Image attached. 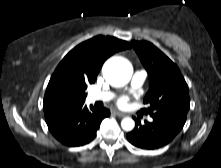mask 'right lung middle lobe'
Returning a JSON list of instances; mask_svg holds the SVG:
<instances>
[{
	"label": "right lung middle lobe",
	"mask_w": 221,
	"mask_h": 168,
	"mask_svg": "<svg viewBox=\"0 0 221 168\" xmlns=\"http://www.w3.org/2000/svg\"><path fill=\"white\" fill-rule=\"evenodd\" d=\"M85 97H86V93L84 91V93H83V100H85Z\"/></svg>",
	"instance_id": "right-lung-middle-lobe-1"
}]
</instances>
